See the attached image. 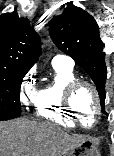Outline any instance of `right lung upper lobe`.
<instances>
[{"mask_svg":"<svg viewBox=\"0 0 114 156\" xmlns=\"http://www.w3.org/2000/svg\"><path fill=\"white\" fill-rule=\"evenodd\" d=\"M40 55V38L16 10L0 16V68L29 70Z\"/></svg>","mask_w":114,"mask_h":156,"instance_id":"right-lung-upper-lobe-1","label":"right lung upper lobe"}]
</instances>
